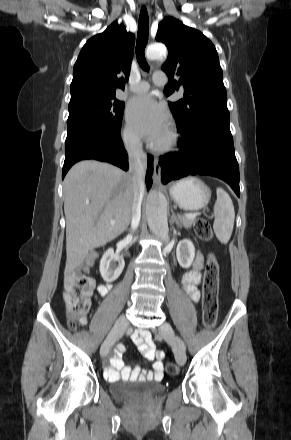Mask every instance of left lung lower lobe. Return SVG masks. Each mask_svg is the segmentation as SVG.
<instances>
[{"instance_id": "left-lung-lower-lobe-1", "label": "left lung lower lobe", "mask_w": 291, "mask_h": 440, "mask_svg": "<svg viewBox=\"0 0 291 440\" xmlns=\"http://www.w3.org/2000/svg\"><path fill=\"white\" fill-rule=\"evenodd\" d=\"M229 122V117H210L180 132L181 150L159 160L162 182L187 175H210L227 182L239 197V166Z\"/></svg>"}]
</instances>
